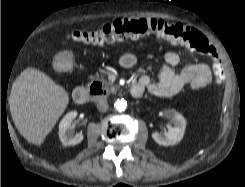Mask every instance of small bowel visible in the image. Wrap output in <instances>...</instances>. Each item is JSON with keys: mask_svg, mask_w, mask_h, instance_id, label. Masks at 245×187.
I'll list each match as a JSON object with an SVG mask.
<instances>
[{"mask_svg": "<svg viewBox=\"0 0 245 187\" xmlns=\"http://www.w3.org/2000/svg\"><path fill=\"white\" fill-rule=\"evenodd\" d=\"M179 61L176 52H167L162 59L160 78L155 81L148 75H143L135 85L154 96L167 97L178 93L184 86L197 90L211 82L212 73L206 64L188 65L176 72L175 67ZM119 63L123 68L130 69L136 65L137 58L132 53H125L120 57Z\"/></svg>", "mask_w": 245, "mask_h": 187, "instance_id": "c3829d8e", "label": "small bowel"}]
</instances>
